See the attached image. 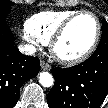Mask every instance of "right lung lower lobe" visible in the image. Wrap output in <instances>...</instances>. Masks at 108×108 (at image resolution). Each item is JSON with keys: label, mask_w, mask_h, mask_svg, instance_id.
Segmentation results:
<instances>
[{"label": "right lung lower lobe", "mask_w": 108, "mask_h": 108, "mask_svg": "<svg viewBox=\"0 0 108 108\" xmlns=\"http://www.w3.org/2000/svg\"><path fill=\"white\" fill-rule=\"evenodd\" d=\"M39 70V59L19 52L6 19H0V108L14 107L21 86Z\"/></svg>", "instance_id": "obj_1"}]
</instances>
